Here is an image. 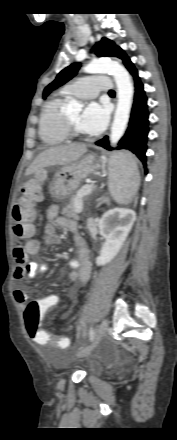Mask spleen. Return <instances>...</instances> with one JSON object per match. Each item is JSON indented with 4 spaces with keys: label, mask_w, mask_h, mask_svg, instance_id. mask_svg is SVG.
<instances>
[{
    "label": "spleen",
    "mask_w": 177,
    "mask_h": 440,
    "mask_svg": "<svg viewBox=\"0 0 177 440\" xmlns=\"http://www.w3.org/2000/svg\"><path fill=\"white\" fill-rule=\"evenodd\" d=\"M122 163L117 167L114 174H109V190L117 203H128L135 195L140 177L135 159L129 153H120Z\"/></svg>",
    "instance_id": "spleen-1"
}]
</instances>
